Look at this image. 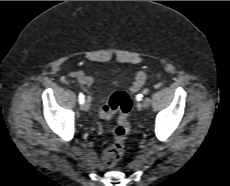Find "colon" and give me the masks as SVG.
I'll use <instances>...</instances> for the list:
<instances>
[{"instance_id": "1", "label": "colon", "mask_w": 230, "mask_h": 186, "mask_svg": "<svg viewBox=\"0 0 230 186\" xmlns=\"http://www.w3.org/2000/svg\"><path fill=\"white\" fill-rule=\"evenodd\" d=\"M146 79V73L139 70L135 75L131 90H139L145 84ZM131 109V98L124 90L115 91L100 108L99 114L102 119H109L115 111H119L118 125L114 130L113 142L104 150L102 155L103 162L107 166L116 165L124 154L125 141L131 130L129 122Z\"/></svg>"}]
</instances>
